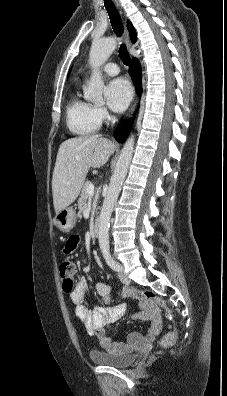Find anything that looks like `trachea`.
I'll return each mask as SVG.
<instances>
[{"mask_svg":"<svg viewBox=\"0 0 227 396\" xmlns=\"http://www.w3.org/2000/svg\"><path fill=\"white\" fill-rule=\"evenodd\" d=\"M104 4L109 15L113 31L118 37H121L123 32V24L118 10L111 0H104ZM119 56L125 65L130 64V56L124 43H122L120 46Z\"/></svg>","mask_w":227,"mask_h":396,"instance_id":"1","label":"trachea"}]
</instances>
